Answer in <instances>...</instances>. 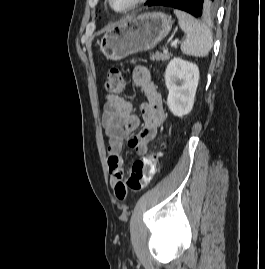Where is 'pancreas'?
<instances>
[{"instance_id": "cf45deb5", "label": "pancreas", "mask_w": 265, "mask_h": 269, "mask_svg": "<svg viewBox=\"0 0 265 269\" xmlns=\"http://www.w3.org/2000/svg\"><path fill=\"white\" fill-rule=\"evenodd\" d=\"M172 57V54L170 53H160V52H156L155 54H150V58L153 61H162V62H166L168 61L170 58Z\"/></svg>"}]
</instances>
